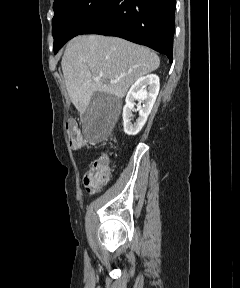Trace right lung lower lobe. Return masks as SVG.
<instances>
[{
    "mask_svg": "<svg viewBox=\"0 0 240 288\" xmlns=\"http://www.w3.org/2000/svg\"><path fill=\"white\" fill-rule=\"evenodd\" d=\"M176 0H112L81 32L117 36L173 57Z\"/></svg>",
    "mask_w": 240,
    "mask_h": 288,
    "instance_id": "98d812e1",
    "label": "right lung lower lobe"
}]
</instances>
